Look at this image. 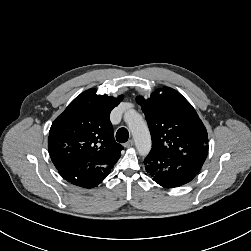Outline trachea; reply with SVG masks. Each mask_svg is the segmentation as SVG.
I'll return each instance as SVG.
<instances>
[{
	"label": "trachea",
	"instance_id": "trachea-1",
	"mask_svg": "<svg viewBox=\"0 0 251 251\" xmlns=\"http://www.w3.org/2000/svg\"><path fill=\"white\" fill-rule=\"evenodd\" d=\"M129 138V132L126 128H120L116 133V140L119 143H125L127 142Z\"/></svg>",
	"mask_w": 251,
	"mask_h": 251
}]
</instances>
